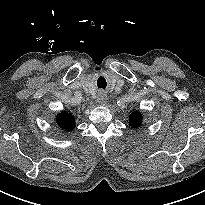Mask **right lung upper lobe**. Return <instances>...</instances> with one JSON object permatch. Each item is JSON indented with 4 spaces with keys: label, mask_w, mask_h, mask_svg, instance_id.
<instances>
[{
    "label": "right lung upper lobe",
    "mask_w": 205,
    "mask_h": 205,
    "mask_svg": "<svg viewBox=\"0 0 205 205\" xmlns=\"http://www.w3.org/2000/svg\"><path fill=\"white\" fill-rule=\"evenodd\" d=\"M57 123L65 130H72L75 127L74 118L67 112H62L57 117Z\"/></svg>",
    "instance_id": "cb5924a9"
}]
</instances>
